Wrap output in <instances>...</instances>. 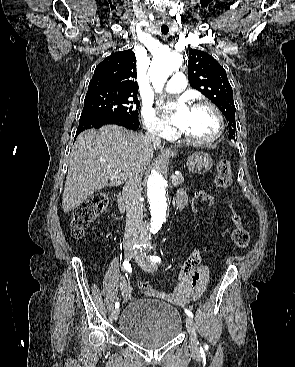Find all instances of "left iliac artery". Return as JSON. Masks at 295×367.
<instances>
[{"label": "left iliac artery", "mask_w": 295, "mask_h": 367, "mask_svg": "<svg viewBox=\"0 0 295 367\" xmlns=\"http://www.w3.org/2000/svg\"><path fill=\"white\" fill-rule=\"evenodd\" d=\"M149 258H150V260H151L152 262H155V263H161V258H160V257H158V256H150ZM185 313H186L189 317L193 318V313H192L190 310L185 309ZM205 347H206V345H205Z\"/></svg>", "instance_id": "left-iliac-artery-1"}]
</instances>
